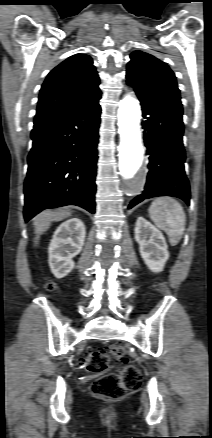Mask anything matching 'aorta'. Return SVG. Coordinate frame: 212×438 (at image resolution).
I'll list each match as a JSON object with an SVG mask.
<instances>
[{
  "label": "aorta",
  "instance_id": "aorta-1",
  "mask_svg": "<svg viewBox=\"0 0 212 438\" xmlns=\"http://www.w3.org/2000/svg\"><path fill=\"white\" fill-rule=\"evenodd\" d=\"M118 131L119 171L127 180H131L143 163L144 149L140 131L141 110L138 100L128 94L119 104Z\"/></svg>",
  "mask_w": 212,
  "mask_h": 438
}]
</instances>
